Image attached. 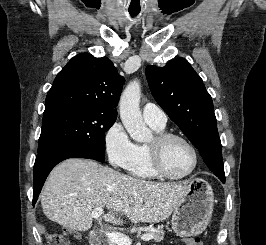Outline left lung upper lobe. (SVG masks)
<instances>
[{
	"label": "left lung upper lobe",
	"instance_id": "left-lung-upper-lobe-1",
	"mask_svg": "<svg viewBox=\"0 0 266 245\" xmlns=\"http://www.w3.org/2000/svg\"><path fill=\"white\" fill-rule=\"evenodd\" d=\"M146 77L160 107L199 149L210 170L224 178L213 102L199 75L184 58H176L162 68L147 66Z\"/></svg>",
	"mask_w": 266,
	"mask_h": 245
}]
</instances>
